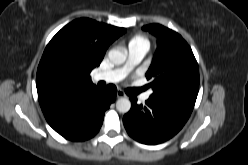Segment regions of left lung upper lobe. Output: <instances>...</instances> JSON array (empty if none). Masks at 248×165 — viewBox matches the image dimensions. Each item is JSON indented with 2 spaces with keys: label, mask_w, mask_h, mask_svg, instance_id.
<instances>
[{
  "label": "left lung upper lobe",
  "mask_w": 248,
  "mask_h": 165,
  "mask_svg": "<svg viewBox=\"0 0 248 165\" xmlns=\"http://www.w3.org/2000/svg\"><path fill=\"white\" fill-rule=\"evenodd\" d=\"M158 38V48L146 73L153 93L149 99L192 111L199 89V69L187 42L160 24L143 27Z\"/></svg>",
  "instance_id": "1"
}]
</instances>
